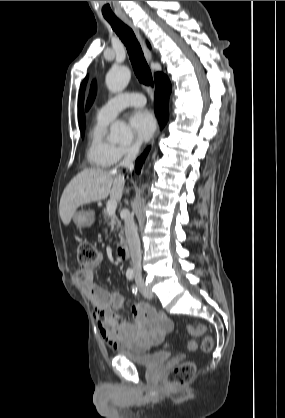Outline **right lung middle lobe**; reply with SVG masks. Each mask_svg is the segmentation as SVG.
Returning a JSON list of instances; mask_svg holds the SVG:
<instances>
[{"label":"right lung middle lobe","mask_w":285,"mask_h":418,"mask_svg":"<svg viewBox=\"0 0 285 418\" xmlns=\"http://www.w3.org/2000/svg\"><path fill=\"white\" fill-rule=\"evenodd\" d=\"M80 129H81V134L83 136L84 135V127H81Z\"/></svg>","instance_id":"dd1d6c3e"}]
</instances>
